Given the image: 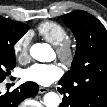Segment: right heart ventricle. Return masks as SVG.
<instances>
[{"mask_svg":"<svg viewBox=\"0 0 107 107\" xmlns=\"http://www.w3.org/2000/svg\"><path fill=\"white\" fill-rule=\"evenodd\" d=\"M38 33L48 42L57 46L68 37V32L64 26L57 22L46 21L37 28Z\"/></svg>","mask_w":107,"mask_h":107,"instance_id":"1","label":"right heart ventricle"}]
</instances>
